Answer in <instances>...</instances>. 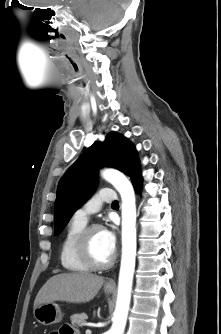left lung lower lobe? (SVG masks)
<instances>
[{
    "mask_svg": "<svg viewBox=\"0 0 221 334\" xmlns=\"http://www.w3.org/2000/svg\"><path fill=\"white\" fill-rule=\"evenodd\" d=\"M141 181H142V176H141V172L138 171L134 177L132 178V183L133 186L136 190L140 191L141 188Z\"/></svg>",
    "mask_w": 221,
    "mask_h": 334,
    "instance_id": "obj_1",
    "label": "left lung lower lobe"
}]
</instances>
